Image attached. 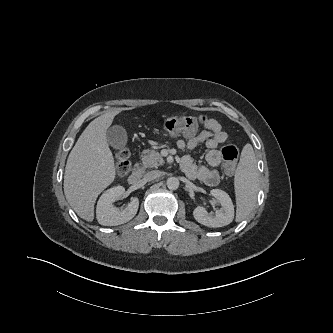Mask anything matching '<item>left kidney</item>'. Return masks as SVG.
Instances as JSON below:
<instances>
[{
	"mask_svg": "<svg viewBox=\"0 0 333 333\" xmlns=\"http://www.w3.org/2000/svg\"><path fill=\"white\" fill-rule=\"evenodd\" d=\"M210 194L221 204V208L216 210L215 215L211 216L205 208L198 206L193 211L195 220L208 227H223L230 224L234 219V205L229 195L220 189H213Z\"/></svg>",
	"mask_w": 333,
	"mask_h": 333,
	"instance_id": "5707ae66",
	"label": "left kidney"
}]
</instances>
